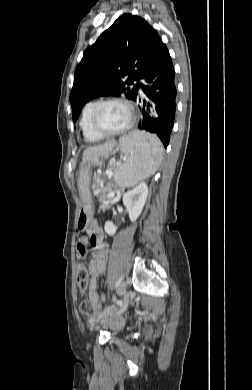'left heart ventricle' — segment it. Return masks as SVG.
Segmentation results:
<instances>
[{
  "label": "left heart ventricle",
  "mask_w": 252,
  "mask_h": 390,
  "mask_svg": "<svg viewBox=\"0 0 252 390\" xmlns=\"http://www.w3.org/2000/svg\"><path fill=\"white\" fill-rule=\"evenodd\" d=\"M130 119L128 108L120 103L104 104L97 115V121L104 130L114 131L124 127Z\"/></svg>",
  "instance_id": "1"
}]
</instances>
